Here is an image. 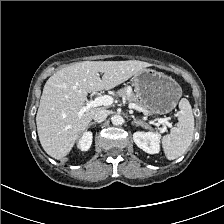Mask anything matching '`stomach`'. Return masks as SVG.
Here are the masks:
<instances>
[{"label": "stomach", "mask_w": 224, "mask_h": 224, "mask_svg": "<svg viewBox=\"0 0 224 224\" xmlns=\"http://www.w3.org/2000/svg\"><path fill=\"white\" fill-rule=\"evenodd\" d=\"M135 92L151 115H162L172 111L182 89L170 76L154 69H143L133 77Z\"/></svg>", "instance_id": "0dacf381"}]
</instances>
